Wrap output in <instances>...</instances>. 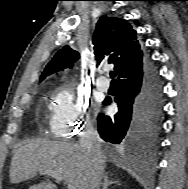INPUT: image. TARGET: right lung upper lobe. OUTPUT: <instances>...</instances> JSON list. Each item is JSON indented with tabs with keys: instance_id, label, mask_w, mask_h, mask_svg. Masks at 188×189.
<instances>
[{
	"instance_id": "cb5924a9",
	"label": "right lung upper lobe",
	"mask_w": 188,
	"mask_h": 189,
	"mask_svg": "<svg viewBox=\"0 0 188 189\" xmlns=\"http://www.w3.org/2000/svg\"><path fill=\"white\" fill-rule=\"evenodd\" d=\"M93 46L98 64L104 58H109V63L114 64L117 81L138 73L147 57L137 40L136 31L126 20L116 17L104 15L99 19L93 34ZM79 57L77 51L69 46L63 47L47 64L40 81L59 70L72 68Z\"/></svg>"
}]
</instances>
